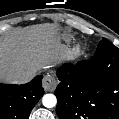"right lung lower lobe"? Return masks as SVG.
Here are the masks:
<instances>
[{
    "label": "right lung lower lobe",
    "instance_id": "obj_1",
    "mask_svg": "<svg viewBox=\"0 0 119 119\" xmlns=\"http://www.w3.org/2000/svg\"><path fill=\"white\" fill-rule=\"evenodd\" d=\"M42 76L23 85L0 84V119H28L33 107L44 95Z\"/></svg>",
    "mask_w": 119,
    "mask_h": 119
}]
</instances>
